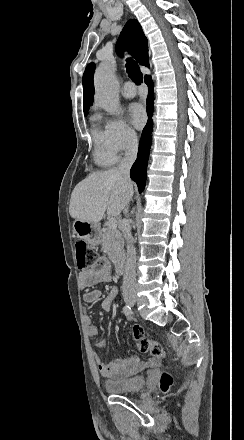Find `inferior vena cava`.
<instances>
[{"label":"inferior vena cava","instance_id":"inferior-vena-cava-1","mask_svg":"<svg viewBox=\"0 0 244 440\" xmlns=\"http://www.w3.org/2000/svg\"><path fill=\"white\" fill-rule=\"evenodd\" d=\"M138 152V140L136 134L130 138L128 142V148L125 152V156L120 162L117 170L119 174H122V180L124 186H130L131 180L129 176L130 168L136 160ZM125 216H128V208H124ZM123 236L127 242V258L125 262V272L123 278V296H130V294H137L136 284V250L133 246V238L131 234L130 224L123 226Z\"/></svg>","mask_w":244,"mask_h":440}]
</instances>
